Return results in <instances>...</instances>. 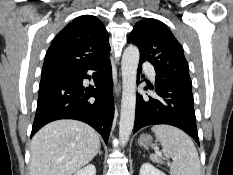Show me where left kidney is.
I'll list each match as a JSON object with an SVG mask.
<instances>
[{"label": "left kidney", "instance_id": "left-kidney-1", "mask_svg": "<svg viewBox=\"0 0 233 175\" xmlns=\"http://www.w3.org/2000/svg\"><path fill=\"white\" fill-rule=\"evenodd\" d=\"M139 175H166L164 172L158 170L149 163H144L140 168Z\"/></svg>", "mask_w": 233, "mask_h": 175}]
</instances>
